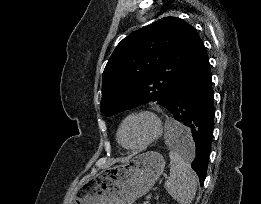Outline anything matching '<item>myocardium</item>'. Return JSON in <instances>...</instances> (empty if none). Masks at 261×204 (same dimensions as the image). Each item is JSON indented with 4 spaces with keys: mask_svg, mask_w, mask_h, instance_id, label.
Returning a JSON list of instances; mask_svg holds the SVG:
<instances>
[{
    "mask_svg": "<svg viewBox=\"0 0 261 204\" xmlns=\"http://www.w3.org/2000/svg\"><path fill=\"white\" fill-rule=\"evenodd\" d=\"M135 118L148 119L153 126V130H152L151 134L141 143L132 145V146L126 145L122 141L121 133H122L124 126L130 120L135 119ZM162 132H163V122H162L161 117L155 111H153L151 109L143 108V109H138V110L130 112L122 119V121L118 127V130H117V140H118L119 144L127 150H140V149H144L145 147H147L150 144L157 141L161 137Z\"/></svg>",
    "mask_w": 261,
    "mask_h": 204,
    "instance_id": "f54148a6",
    "label": "myocardium"
}]
</instances>
